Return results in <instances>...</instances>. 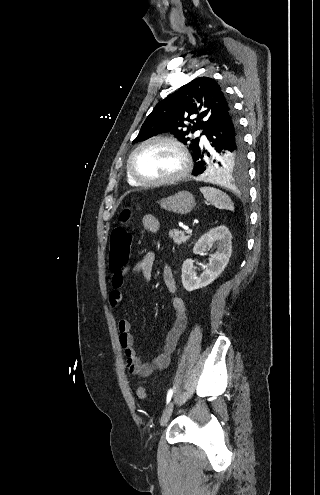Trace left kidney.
I'll list each match as a JSON object with an SVG mask.
<instances>
[{
	"mask_svg": "<svg viewBox=\"0 0 320 495\" xmlns=\"http://www.w3.org/2000/svg\"><path fill=\"white\" fill-rule=\"evenodd\" d=\"M232 235L225 226H219L203 235L193 248L194 254H204L211 247L216 246L217 251L210 254L209 263L199 277L193 273L192 259H187L182 265V284L187 291H194L211 284L227 266L232 252Z\"/></svg>",
	"mask_w": 320,
	"mask_h": 495,
	"instance_id": "left-kidney-1",
	"label": "left kidney"
}]
</instances>
